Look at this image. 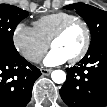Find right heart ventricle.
Wrapping results in <instances>:
<instances>
[{"instance_id":"1","label":"right heart ventricle","mask_w":107,"mask_h":107,"mask_svg":"<svg viewBox=\"0 0 107 107\" xmlns=\"http://www.w3.org/2000/svg\"><path fill=\"white\" fill-rule=\"evenodd\" d=\"M73 18H76V16L71 13L56 12L40 17L33 23V25L39 37L49 44L52 36L57 31V29L62 24Z\"/></svg>"}]
</instances>
